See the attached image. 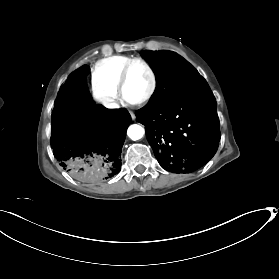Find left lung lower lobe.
Here are the masks:
<instances>
[{
	"mask_svg": "<svg viewBox=\"0 0 279 279\" xmlns=\"http://www.w3.org/2000/svg\"><path fill=\"white\" fill-rule=\"evenodd\" d=\"M162 168L173 173H191L216 153L219 119L216 100L204 80L155 109L136 112Z\"/></svg>",
	"mask_w": 279,
	"mask_h": 279,
	"instance_id": "obj_1",
	"label": "left lung lower lobe"
}]
</instances>
